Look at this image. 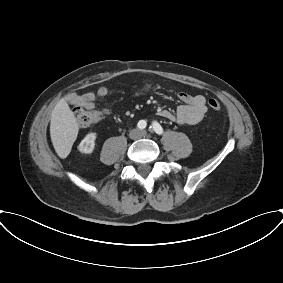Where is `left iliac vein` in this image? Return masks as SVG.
<instances>
[{"mask_svg": "<svg viewBox=\"0 0 283 283\" xmlns=\"http://www.w3.org/2000/svg\"><path fill=\"white\" fill-rule=\"evenodd\" d=\"M140 136L141 137H146L147 136V132L145 130L140 132Z\"/></svg>", "mask_w": 283, "mask_h": 283, "instance_id": "obj_1", "label": "left iliac vein"}]
</instances>
